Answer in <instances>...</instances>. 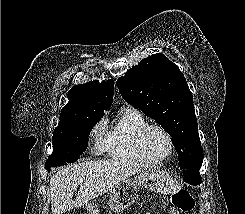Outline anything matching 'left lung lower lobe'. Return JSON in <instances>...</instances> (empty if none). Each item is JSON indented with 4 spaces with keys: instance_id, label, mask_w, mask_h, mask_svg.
Listing matches in <instances>:
<instances>
[{
    "instance_id": "0a47b994",
    "label": "left lung lower lobe",
    "mask_w": 245,
    "mask_h": 214,
    "mask_svg": "<svg viewBox=\"0 0 245 214\" xmlns=\"http://www.w3.org/2000/svg\"><path fill=\"white\" fill-rule=\"evenodd\" d=\"M200 168L186 169L184 173V181L191 185H198L202 182L199 172Z\"/></svg>"
}]
</instances>
